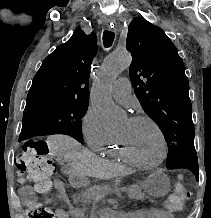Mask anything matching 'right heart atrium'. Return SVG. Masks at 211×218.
I'll return each instance as SVG.
<instances>
[{
    "mask_svg": "<svg viewBox=\"0 0 211 218\" xmlns=\"http://www.w3.org/2000/svg\"><path fill=\"white\" fill-rule=\"evenodd\" d=\"M81 132L88 145L96 150L107 141L111 132L106 129L97 112L89 107L81 119Z\"/></svg>",
    "mask_w": 211,
    "mask_h": 218,
    "instance_id": "1",
    "label": "right heart atrium"
}]
</instances>
